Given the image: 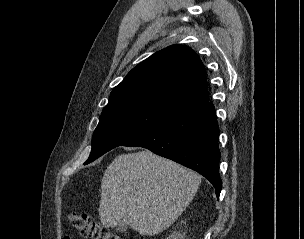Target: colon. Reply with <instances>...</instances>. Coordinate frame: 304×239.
I'll list each match as a JSON object with an SVG mask.
<instances>
[{
    "mask_svg": "<svg viewBox=\"0 0 304 239\" xmlns=\"http://www.w3.org/2000/svg\"><path fill=\"white\" fill-rule=\"evenodd\" d=\"M69 219L73 228L83 237L89 239H121L109 229L95 222L85 212H73Z\"/></svg>",
    "mask_w": 304,
    "mask_h": 239,
    "instance_id": "colon-1",
    "label": "colon"
}]
</instances>
